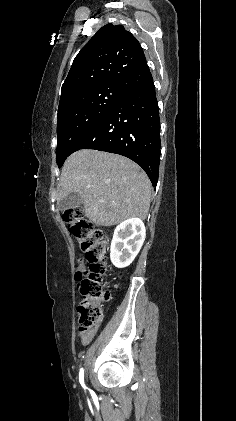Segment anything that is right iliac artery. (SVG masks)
<instances>
[{"instance_id":"right-iliac-artery-1","label":"right iliac artery","mask_w":236,"mask_h":421,"mask_svg":"<svg viewBox=\"0 0 236 421\" xmlns=\"http://www.w3.org/2000/svg\"><path fill=\"white\" fill-rule=\"evenodd\" d=\"M79 381H80V384L82 385V387L84 389H86L87 387L84 384V370H83V368H81L80 372H79Z\"/></svg>"}]
</instances>
